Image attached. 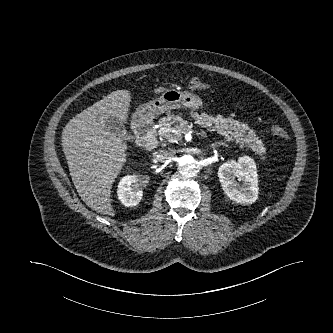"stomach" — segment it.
I'll return each instance as SVG.
<instances>
[{"mask_svg": "<svg viewBox=\"0 0 333 333\" xmlns=\"http://www.w3.org/2000/svg\"><path fill=\"white\" fill-rule=\"evenodd\" d=\"M202 106L199 96L177 90H165L158 98H155L136 109L133 120L139 123L153 119L161 113L176 108L198 109Z\"/></svg>", "mask_w": 333, "mask_h": 333, "instance_id": "stomach-1", "label": "stomach"}]
</instances>
